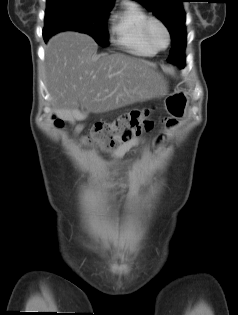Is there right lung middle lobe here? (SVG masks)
I'll list each match as a JSON object with an SVG mask.
<instances>
[{"label":"right lung middle lobe","mask_w":238,"mask_h":315,"mask_svg":"<svg viewBox=\"0 0 238 315\" xmlns=\"http://www.w3.org/2000/svg\"><path fill=\"white\" fill-rule=\"evenodd\" d=\"M111 7L91 0H47L43 38L46 42L55 33L74 30L107 46L106 19Z\"/></svg>","instance_id":"dd1d6c3e"}]
</instances>
